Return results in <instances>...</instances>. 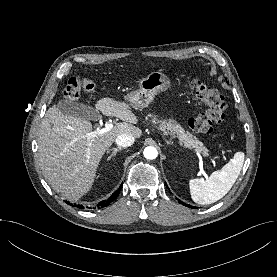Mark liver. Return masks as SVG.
I'll use <instances>...</instances> for the list:
<instances>
[{
	"label": "liver",
	"mask_w": 277,
	"mask_h": 277,
	"mask_svg": "<svg viewBox=\"0 0 277 277\" xmlns=\"http://www.w3.org/2000/svg\"><path fill=\"white\" fill-rule=\"evenodd\" d=\"M95 107L96 111L123 122L88 139L91 122L65 115L54 105L47 110L38 131V157L43 175L54 190L70 200L81 198L91 189L104 153L119 135L129 134L134 138L142 135L135 126L138 117L123 102L104 97Z\"/></svg>",
	"instance_id": "obj_1"
}]
</instances>
